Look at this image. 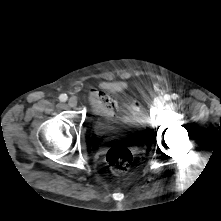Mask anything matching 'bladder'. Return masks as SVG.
<instances>
[{"mask_svg": "<svg viewBox=\"0 0 221 221\" xmlns=\"http://www.w3.org/2000/svg\"><path fill=\"white\" fill-rule=\"evenodd\" d=\"M93 127L100 136H118L141 133L145 129V124L138 113H134L126 120L115 115L101 117L96 114L93 118Z\"/></svg>", "mask_w": 221, "mask_h": 221, "instance_id": "31cf9c89", "label": "bladder"}]
</instances>
